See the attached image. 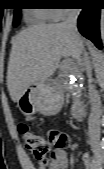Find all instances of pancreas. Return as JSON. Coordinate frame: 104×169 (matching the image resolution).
<instances>
[{
    "label": "pancreas",
    "instance_id": "cf45deb5",
    "mask_svg": "<svg viewBox=\"0 0 104 169\" xmlns=\"http://www.w3.org/2000/svg\"><path fill=\"white\" fill-rule=\"evenodd\" d=\"M70 73V71L68 70V69H64L63 71H62V77L64 78V79H68V74ZM80 74V71L78 70V68H77V72L75 73V75H79ZM78 102H80V97H78V98H74V103H78Z\"/></svg>",
    "mask_w": 104,
    "mask_h": 169
}]
</instances>
